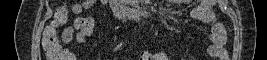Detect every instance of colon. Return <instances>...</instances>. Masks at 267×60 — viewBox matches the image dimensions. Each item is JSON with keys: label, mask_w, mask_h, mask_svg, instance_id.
Returning a JSON list of instances; mask_svg holds the SVG:
<instances>
[{"label": "colon", "mask_w": 267, "mask_h": 60, "mask_svg": "<svg viewBox=\"0 0 267 60\" xmlns=\"http://www.w3.org/2000/svg\"><path fill=\"white\" fill-rule=\"evenodd\" d=\"M67 11L63 10L55 20L58 25L65 23L67 20ZM77 27L81 26L80 22L76 23ZM42 51L48 60L70 59L66 50L60 45L55 31H47L42 39Z\"/></svg>", "instance_id": "5ec220e1"}]
</instances>
